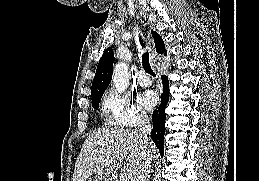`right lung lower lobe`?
I'll return each mask as SVG.
<instances>
[{
    "label": "right lung lower lobe",
    "instance_id": "obj_1",
    "mask_svg": "<svg viewBox=\"0 0 259 181\" xmlns=\"http://www.w3.org/2000/svg\"><path fill=\"white\" fill-rule=\"evenodd\" d=\"M162 82H163V93L161 95V105L157 110L153 112L152 115V122H153V130L151 132V138L157 148L160 150L161 156H163L164 153V134H165V108L168 103L169 99V81L168 77L165 75L161 76Z\"/></svg>",
    "mask_w": 259,
    "mask_h": 181
}]
</instances>
